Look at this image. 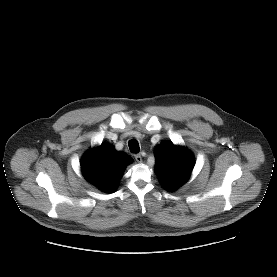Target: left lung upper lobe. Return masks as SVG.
<instances>
[{
  "mask_svg": "<svg viewBox=\"0 0 277 277\" xmlns=\"http://www.w3.org/2000/svg\"><path fill=\"white\" fill-rule=\"evenodd\" d=\"M155 173L167 191H175L191 174L194 157L186 149L172 142H163L155 149Z\"/></svg>",
  "mask_w": 277,
  "mask_h": 277,
  "instance_id": "left-lung-upper-lobe-1",
  "label": "left lung upper lobe"
}]
</instances>
